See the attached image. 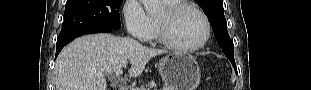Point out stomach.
I'll return each mask as SVG.
<instances>
[{"label": "stomach", "instance_id": "obj_1", "mask_svg": "<svg viewBox=\"0 0 311 90\" xmlns=\"http://www.w3.org/2000/svg\"><path fill=\"white\" fill-rule=\"evenodd\" d=\"M160 75L171 90H195L200 82V69L195 58L187 53L173 52L158 64Z\"/></svg>", "mask_w": 311, "mask_h": 90}]
</instances>
